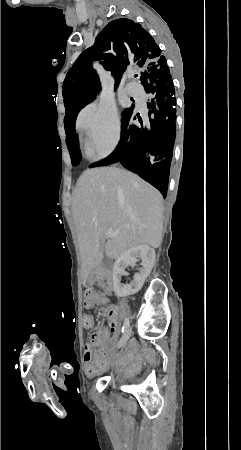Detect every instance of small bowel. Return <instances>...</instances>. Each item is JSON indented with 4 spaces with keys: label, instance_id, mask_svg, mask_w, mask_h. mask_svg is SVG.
<instances>
[{
    "label": "small bowel",
    "instance_id": "c3829d8e",
    "mask_svg": "<svg viewBox=\"0 0 241 450\" xmlns=\"http://www.w3.org/2000/svg\"><path fill=\"white\" fill-rule=\"evenodd\" d=\"M108 289L111 287L109 284L106 286ZM87 289H92V284H87ZM103 300L98 296L94 290H88L84 294V305L86 308H91L96 304L102 303ZM94 324V323H93ZM86 328H91L93 325H84ZM107 326H101L96 329V331L90 336V342L85 345L84 349V360L86 364V372L89 376H95L102 372L108 362L116 358L119 362L125 360V356L118 354L116 356H111V351L114 347V337L112 334H117L119 328L122 326L121 319H108ZM94 347L99 348V352L96 355L94 353ZM129 347L135 349L137 347V342L135 340L129 341ZM139 363V358L137 356H130L128 358L127 368L129 370H134L136 365Z\"/></svg>",
    "mask_w": 241,
    "mask_h": 450
}]
</instances>
